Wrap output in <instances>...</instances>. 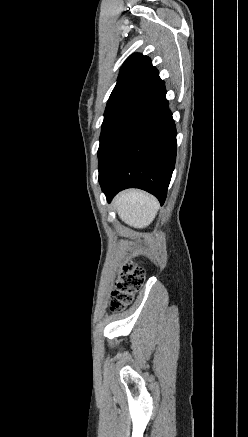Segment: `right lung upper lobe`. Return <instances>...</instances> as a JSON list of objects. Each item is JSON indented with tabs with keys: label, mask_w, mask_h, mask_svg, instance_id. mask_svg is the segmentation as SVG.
I'll return each mask as SVG.
<instances>
[{
	"label": "right lung upper lobe",
	"mask_w": 248,
	"mask_h": 437,
	"mask_svg": "<svg viewBox=\"0 0 248 437\" xmlns=\"http://www.w3.org/2000/svg\"><path fill=\"white\" fill-rule=\"evenodd\" d=\"M159 77L151 60L142 54H132L122 65L120 74L109 101L130 93H141L149 84Z\"/></svg>",
	"instance_id": "right-lung-upper-lobe-1"
}]
</instances>
